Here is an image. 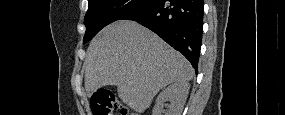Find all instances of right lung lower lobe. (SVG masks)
I'll return each mask as SVG.
<instances>
[{
    "label": "right lung lower lobe",
    "instance_id": "right-lung-lower-lobe-1",
    "mask_svg": "<svg viewBox=\"0 0 285 115\" xmlns=\"http://www.w3.org/2000/svg\"><path fill=\"white\" fill-rule=\"evenodd\" d=\"M203 0H153L120 20H134L181 52L196 73L203 33Z\"/></svg>",
    "mask_w": 285,
    "mask_h": 115
}]
</instances>
